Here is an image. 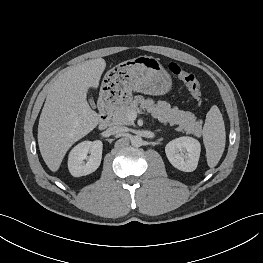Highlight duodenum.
Here are the masks:
<instances>
[{
	"label": "duodenum",
	"mask_w": 263,
	"mask_h": 263,
	"mask_svg": "<svg viewBox=\"0 0 263 263\" xmlns=\"http://www.w3.org/2000/svg\"><path fill=\"white\" fill-rule=\"evenodd\" d=\"M112 116V108L110 103H102L99 108L98 127L103 130L108 127Z\"/></svg>",
	"instance_id": "410a0bca"
}]
</instances>
